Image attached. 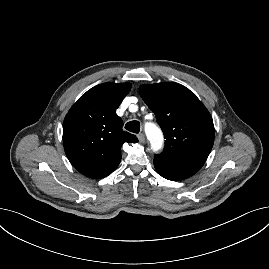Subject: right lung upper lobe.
Returning a JSON list of instances; mask_svg holds the SVG:
<instances>
[{
  "label": "right lung upper lobe",
  "instance_id": "cb5924a9",
  "mask_svg": "<svg viewBox=\"0 0 269 269\" xmlns=\"http://www.w3.org/2000/svg\"><path fill=\"white\" fill-rule=\"evenodd\" d=\"M130 83H103L91 88L72 106L63 122L65 153L80 173L90 178H104L121 160L123 143H136L135 135L122 130L123 121L116 114Z\"/></svg>",
  "mask_w": 269,
  "mask_h": 269
}]
</instances>
